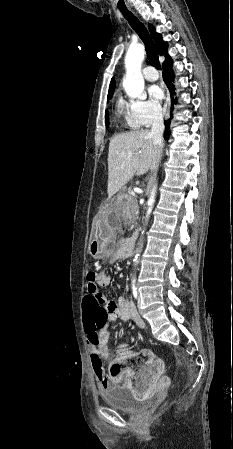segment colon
<instances>
[{
	"instance_id": "obj_1",
	"label": "colon",
	"mask_w": 233,
	"mask_h": 449,
	"mask_svg": "<svg viewBox=\"0 0 233 449\" xmlns=\"http://www.w3.org/2000/svg\"><path fill=\"white\" fill-rule=\"evenodd\" d=\"M93 298L90 291L85 292L79 303L84 328H106V308H102L100 302H95Z\"/></svg>"
}]
</instances>
